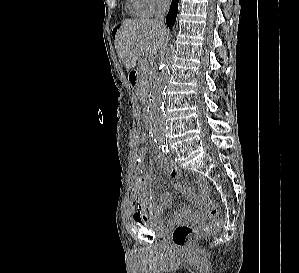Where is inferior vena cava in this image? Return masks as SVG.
<instances>
[{
  "instance_id": "obj_1",
  "label": "inferior vena cava",
  "mask_w": 299,
  "mask_h": 273,
  "mask_svg": "<svg viewBox=\"0 0 299 273\" xmlns=\"http://www.w3.org/2000/svg\"><path fill=\"white\" fill-rule=\"evenodd\" d=\"M169 4V0H158L157 2V16L155 18V22L163 28L165 27L164 18L169 9Z\"/></svg>"
}]
</instances>
